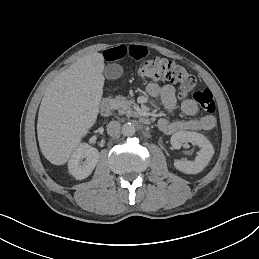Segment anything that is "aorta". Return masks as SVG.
I'll list each match as a JSON object with an SVG mask.
<instances>
[{"label": "aorta", "mask_w": 259, "mask_h": 259, "mask_svg": "<svg viewBox=\"0 0 259 259\" xmlns=\"http://www.w3.org/2000/svg\"><path fill=\"white\" fill-rule=\"evenodd\" d=\"M136 132L135 126L132 123H125L122 126V134L124 136H132Z\"/></svg>", "instance_id": "obj_1"}]
</instances>
